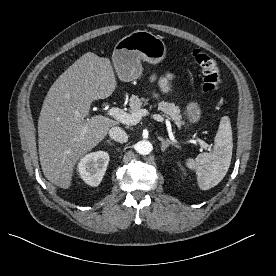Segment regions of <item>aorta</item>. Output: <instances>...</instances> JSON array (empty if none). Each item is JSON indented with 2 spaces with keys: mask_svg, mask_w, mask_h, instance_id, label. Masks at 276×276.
I'll return each instance as SVG.
<instances>
[{
  "mask_svg": "<svg viewBox=\"0 0 276 276\" xmlns=\"http://www.w3.org/2000/svg\"><path fill=\"white\" fill-rule=\"evenodd\" d=\"M135 150L141 155H148L152 151V144L146 140L139 141L135 145Z\"/></svg>",
  "mask_w": 276,
  "mask_h": 276,
  "instance_id": "762f6f07",
  "label": "aorta"
}]
</instances>
